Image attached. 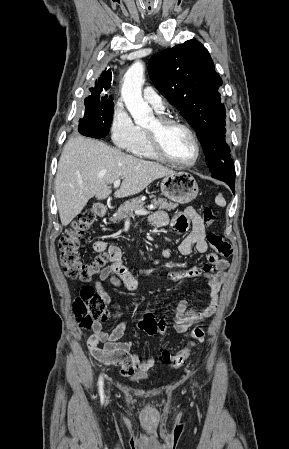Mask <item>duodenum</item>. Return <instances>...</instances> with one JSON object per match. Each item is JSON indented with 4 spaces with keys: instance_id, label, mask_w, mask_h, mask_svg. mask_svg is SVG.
Wrapping results in <instances>:
<instances>
[{
    "instance_id": "duodenum-1",
    "label": "duodenum",
    "mask_w": 289,
    "mask_h": 449,
    "mask_svg": "<svg viewBox=\"0 0 289 449\" xmlns=\"http://www.w3.org/2000/svg\"><path fill=\"white\" fill-rule=\"evenodd\" d=\"M98 212H99V214L104 215V214L106 213V210H105V208L100 207V208L98 209Z\"/></svg>"
}]
</instances>
